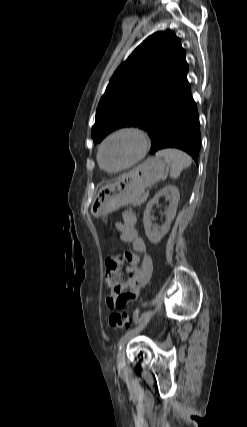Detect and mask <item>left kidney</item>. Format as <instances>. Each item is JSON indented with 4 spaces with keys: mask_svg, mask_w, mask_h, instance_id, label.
Wrapping results in <instances>:
<instances>
[{
    "mask_svg": "<svg viewBox=\"0 0 247 427\" xmlns=\"http://www.w3.org/2000/svg\"><path fill=\"white\" fill-rule=\"evenodd\" d=\"M165 196L169 201V206L165 211L166 221L159 229L153 227L151 222V209L158 200ZM180 199L179 189L174 185H167L163 189L157 192L153 199H151L144 211L143 224L145 228V234L148 237L149 241L153 244H158L163 237L168 233L170 229L171 222L176 216L177 206ZM153 228V229H152Z\"/></svg>",
    "mask_w": 247,
    "mask_h": 427,
    "instance_id": "1",
    "label": "left kidney"
}]
</instances>
